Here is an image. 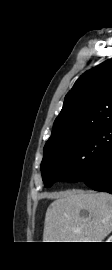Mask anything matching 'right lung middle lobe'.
<instances>
[{
    "instance_id": "right-lung-middle-lobe-1",
    "label": "right lung middle lobe",
    "mask_w": 112,
    "mask_h": 270,
    "mask_svg": "<svg viewBox=\"0 0 112 270\" xmlns=\"http://www.w3.org/2000/svg\"><path fill=\"white\" fill-rule=\"evenodd\" d=\"M112 146V124H106L44 150L41 173L45 187L57 181L83 180Z\"/></svg>"
}]
</instances>
